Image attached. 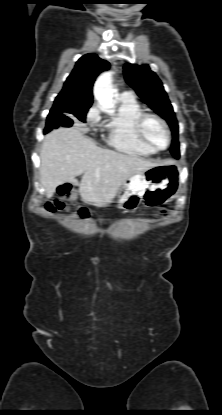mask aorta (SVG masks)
Segmentation results:
<instances>
[{"instance_id":"762f6f07","label":"aorta","mask_w":222,"mask_h":415,"mask_svg":"<svg viewBox=\"0 0 222 415\" xmlns=\"http://www.w3.org/2000/svg\"><path fill=\"white\" fill-rule=\"evenodd\" d=\"M112 82V72H104L98 77L94 86V97L104 112H111L114 109Z\"/></svg>"}]
</instances>
